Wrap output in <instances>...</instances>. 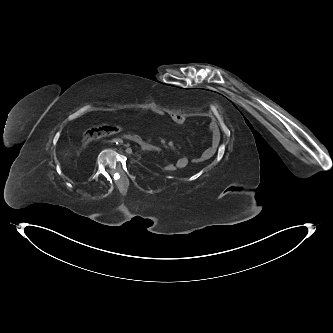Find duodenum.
Segmentation results:
<instances>
[{
	"label": "duodenum",
	"mask_w": 333,
	"mask_h": 333,
	"mask_svg": "<svg viewBox=\"0 0 333 333\" xmlns=\"http://www.w3.org/2000/svg\"><path fill=\"white\" fill-rule=\"evenodd\" d=\"M132 141L137 143L140 148L145 152H158L160 148L157 145L143 141L137 137L132 138Z\"/></svg>",
	"instance_id": "obj_1"
}]
</instances>
